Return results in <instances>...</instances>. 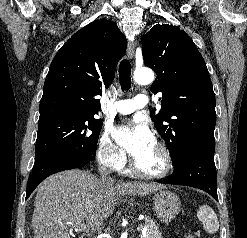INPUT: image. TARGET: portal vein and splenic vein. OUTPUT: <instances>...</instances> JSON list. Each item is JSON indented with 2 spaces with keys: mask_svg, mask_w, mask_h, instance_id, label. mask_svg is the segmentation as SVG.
<instances>
[{
  "mask_svg": "<svg viewBox=\"0 0 247 238\" xmlns=\"http://www.w3.org/2000/svg\"><path fill=\"white\" fill-rule=\"evenodd\" d=\"M73 227H75L76 229H79V230H83V231L89 232L88 226L85 223H82V222L73 225ZM137 231L138 232L141 231L143 234L146 233V229H144V226L142 224L137 227Z\"/></svg>",
  "mask_w": 247,
  "mask_h": 238,
  "instance_id": "1",
  "label": "portal vein and splenic vein"
}]
</instances>
